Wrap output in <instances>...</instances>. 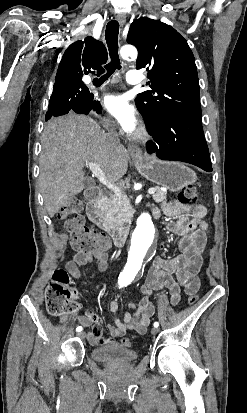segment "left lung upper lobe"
I'll return each mask as SVG.
<instances>
[{"label":"left lung upper lobe","instance_id":"obj_1","mask_svg":"<svg viewBox=\"0 0 247 413\" xmlns=\"http://www.w3.org/2000/svg\"><path fill=\"white\" fill-rule=\"evenodd\" d=\"M127 42L138 49L137 69L146 68L151 83L152 90L135 99L146 125L172 114L202 119L198 74L187 41L171 26L142 17L131 24Z\"/></svg>","mask_w":247,"mask_h":413}]
</instances>
